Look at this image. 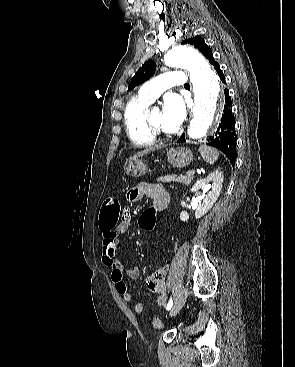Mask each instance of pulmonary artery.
<instances>
[{
  "mask_svg": "<svg viewBox=\"0 0 295 367\" xmlns=\"http://www.w3.org/2000/svg\"><path fill=\"white\" fill-rule=\"evenodd\" d=\"M185 83L186 75L184 72L168 71L145 83L139 90V97L153 101L166 89L173 86H184Z\"/></svg>",
  "mask_w": 295,
  "mask_h": 367,
  "instance_id": "e3ab8cb5",
  "label": "pulmonary artery"
}]
</instances>
